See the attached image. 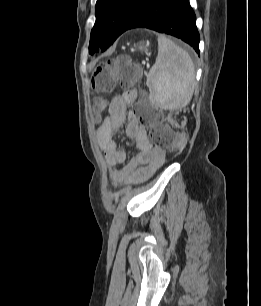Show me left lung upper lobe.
Segmentation results:
<instances>
[{
	"mask_svg": "<svg viewBox=\"0 0 261 306\" xmlns=\"http://www.w3.org/2000/svg\"><path fill=\"white\" fill-rule=\"evenodd\" d=\"M145 0H97L96 22L91 31L89 53L105 51L124 32Z\"/></svg>",
	"mask_w": 261,
	"mask_h": 306,
	"instance_id": "1",
	"label": "left lung upper lobe"
}]
</instances>
